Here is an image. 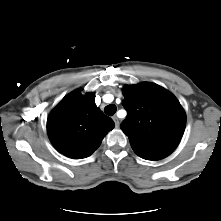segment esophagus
<instances>
[{
    "instance_id": "34e87169",
    "label": "esophagus",
    "mask_w": 221,
    "mask_h": 221,
    "mask_svg": "<svg viewBox=\"0 0 221 221\" xmlns=\"http://www.w3.org/2000/svg\"><path fill=\"white\" fill-rule=\"evenodd\" d=\"M112 119H113V121H114V123H115V126L118 128V127H119V124H120L118 117L113 116Z\"/></svg>"
}]
</instances>
